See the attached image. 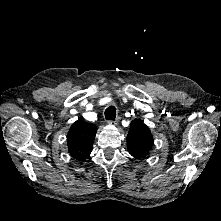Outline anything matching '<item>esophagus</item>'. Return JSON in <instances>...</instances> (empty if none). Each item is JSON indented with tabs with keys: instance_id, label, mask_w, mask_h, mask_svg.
Segmentation results:
<instances>
[{
	"instance_id": "obj_1",
	"label": "esophagus",
	"mask_w": 221,
	"mask_h": 221,
	"mask_svg": "<svg viewBox=\"0 0 221 221\" xmlns=\"http://www.w3.org/2000/svg\"><path fill=\"white\" fill-rule=\"evenodd\" d=\"M118 123H119L118 120H109V121H108V124L113 125V126H117Z\"/></svg>"
}]
</instances>
